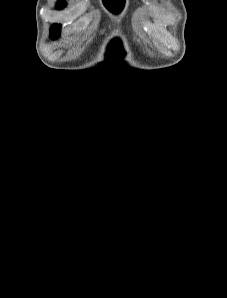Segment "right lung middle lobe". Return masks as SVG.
Listing matches in <instances>:
<instances>
[{
    "label": "right lung middle lobe",
    "instance_id": "right-lung-middle-lobe-1",
    "mask_svg": "<svg viewBox=\"0 0 227 298\" xmlns=\"http://www.w3.org/2000/svg\"><path fill=\"white\" fill-rule=\"evenodd\" d=\"M65 2L64 1H59L58 2V9H62L64 6H65ZM60 28L61 26L60 25H57V24H54L52 27H51V30H50V35H51V38L52 39H56L58 36H59V31H60Z\"/></svg>",
    "mask_w": 227,
    "mask_h": 298
}]
</instances>
